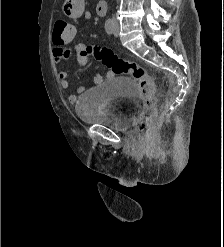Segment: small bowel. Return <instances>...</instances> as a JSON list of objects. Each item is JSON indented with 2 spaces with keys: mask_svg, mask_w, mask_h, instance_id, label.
<instances>
[{
  "mask_svg": "<svg viewBox=\"0 0 224 247\" xmlns=\"http://www.w3.org/2000/svg\"><path fill=\"white\" fill-rule=\"evenodd\" d=\"M63 10L65 14L71 18H80L83 17L86 20L92 18V14L89 11L84 10V0H65L63 5ZM54 49H53V57L56 62H61L67 59L70 55V50L66 48V45L70 42H61L57 40H53ZM85 46L82 43H77L74 45V49L80 53ZM58 81L59 85L63 89H67L69 86V82L67 79V72L65 70L58 71ZM108 77L112 76V73L107 74ZM67 99L69 102H76V96L72 94L67 95Z\"/></svg>",
  "mask_w": 224,
  "mask_h": 247,
  "instance_id": "1",
  "label": "small bowel"
}]
</instances>
